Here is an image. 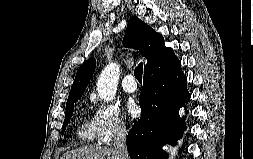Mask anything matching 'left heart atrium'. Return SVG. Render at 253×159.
<instances>
[{"instance_id":"left-heart-atrium-1","label":"left heart atrium","mask_w":253,"mask_h":159,"mask_svg":"<svg viewBox=\"0 0 253 159\" xmlns=\"http://www.w3.org/2000/svg\"><path fill=\"white\" fill-rule=\"evenodd\" d=\"M127 112L129 114V116L131 117H136L139 113V110H138V107L135 103L133 102H130L128 105H127Z\"/></svg>"}]
</instances>
